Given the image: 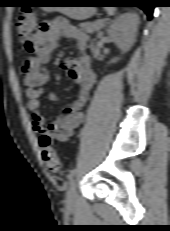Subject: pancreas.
Returning <instances> with one entry per match:
<instances>
[{
  "mask_svg": "<svg viewBox=\"0 0 170 231\" xmlns=\"http://www.w3.org/2000/svg\"><path fill=\"white\" fill-rule=\"evenodd\" d=\"M104 25L103 20H97L96 22H86V23H81L80 27L83 31L93 34L96 31H99Z\"/></svg>",
  "mask_w": 170,
  "mask_h": 231,
  "instance_id": "1",
  "label": "pancreas"
}]
</instances>
